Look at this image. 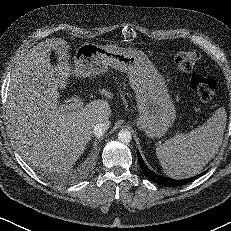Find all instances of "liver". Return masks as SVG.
Here are the masks:
<instances>
[{
    "label": "liver",
    "instance_id": "6515ba94",
    "mask_svg": "<svg viewBox=\"0 0 231 231\" xmlns=\"http://www.w3.org/2000/svg\"><path fill=\"white\" fill-rule=\"evenodd\" d=\"M67 49L62 38L38 43L13 70L8 89V127L16 147L30 166L45 172L71 168L92 139L94 126L109 121L112 112L106 100L72 112L58 104V88L64 89L73 73ZM52 50L59 55L56 67L50 63ZM99 92L113 96L105 89Z\"/></svg>",
    "mask_w": 231,
    "mask_h": 231
}]
</instances>
